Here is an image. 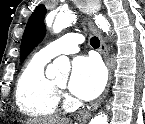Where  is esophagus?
<instances>
[{
  "instance_id": "esophagus-1",
  "label": "esophagus",
  "mask_w": 145,
  "mask_h": 124,
  "mask_svg": "<svg viewBox=\"0 0 145 124\" xmlns=\"http://www.w3.org/2000/svg\"><path fill=\"white\" fill-rule=\"evenodd\" d=\"M99 9H100V3L99 2H95L94 7L92 9H87L86 13L90 16L93 13L99 11ZM88 25H89V28L91 29V31L94 34H96V36L100 40V53L102 54L103 59H104L106 65H107L109 76H108V83H107V86L105 88V91L99 97V99H97L94 103H92L91 105L87 106V108H85L84 110H82V111H80L78 113L77 120L80 123H86L89 120V118L91 117V113L93 111H95L100 106V104L103 102V100L106 98V96H107V94L109 92L111 81H112V67H111L110 56H109V52H108L105 40H104L101 32L97 29V27L92 22V20H89Z\"/></svg>"
}]
</instances>
